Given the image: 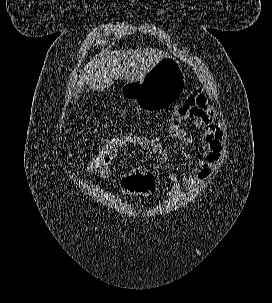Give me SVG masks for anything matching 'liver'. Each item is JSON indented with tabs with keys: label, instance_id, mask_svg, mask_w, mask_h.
I'll use <instances>...</instances> for the list:
<instances>
[{
	"label": "liver",
	"instance_id": "1",
	"mask_svg": "<svg viewBox=\"0 0 272 303\" xmlns=\"http://www.w3.org/2000/svg\"><path fill=\"white\" fill-rule=\"evenodd\" d=\"M168 54L154 48L100 53L87 66L86 81L94 91H105L119 78L128 82L144 77Z\"/></svg>",
	"mask_w": 272,
	"mask_h": 303
}]
</instances>
